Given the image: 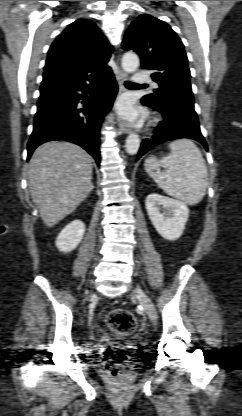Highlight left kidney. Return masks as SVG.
Listing matches in <instances>:
<instances>
[{"instance_id":"5707ae66","label":"left kidney","mask_w":242,"mask_h":416,"mask_svg":"<svg viewBox=\"0 0 242 416\" xmlns=\"http://www.w3.org/2000/svg\"><path fill=\"white\" fill-rule=\"evenodd\" d=\"M146 209L153 226L164 239L174 241L183 234L189 216L185 203L152 193L146 198Z\"/></svg>"}]
</instances>
